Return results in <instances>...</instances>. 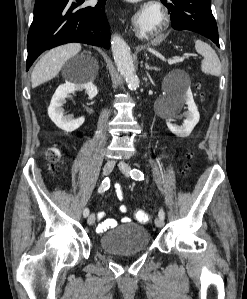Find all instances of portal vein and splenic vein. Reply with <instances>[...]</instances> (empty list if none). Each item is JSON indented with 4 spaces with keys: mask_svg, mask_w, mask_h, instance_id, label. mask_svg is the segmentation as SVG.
Wrapping results in <instances>:
<instances>
[{
    "mask_svg": "<svg viewBox=\"0 0 247 299\" xmlns=\"http://www.w3.org/2000/svg\"><path fill=\"white\" fill-rule=\"evenodd\" d=\"M180 61L181 60L179 58H173V59L168 60V64L172 65V64L178 63Z\"/></svg>",
    "mask_w": 247,
    "mask_h": 299,
    "instance_id": "1",
    "label": "portal vein and splenic vein"
}]
</instances>
